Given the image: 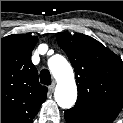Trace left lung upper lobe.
Returning a JSON list of instances; mask_svg holds the SVG:
<instances>
[{
    "label": "left lung upper lobe",
    "instance_id": "obj_1",
    "mask_svg": "<svg viewBox=\"0 0 123 123\" xmlns=\"http://www.w3.org/2000/svg\"><path fill=\"white\" fill-rule=\"evenodd\" d=\"M56 39L75 70L76 105L115 118L123 106V61L87 35L57 33Z\"/></svg>",
    "mask_w": 123,
    "mask_h": 123
}]
</instances>
